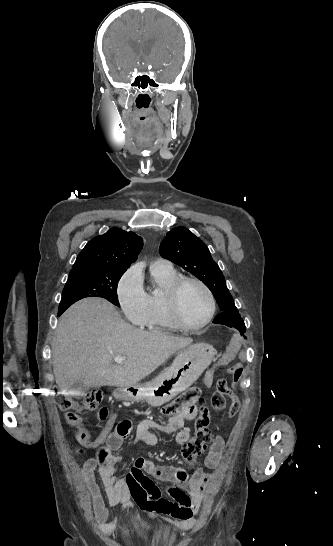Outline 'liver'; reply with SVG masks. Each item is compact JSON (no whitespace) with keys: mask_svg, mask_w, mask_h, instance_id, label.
<instances>
[{"mask_svg":"<svg viewBox=\"0 0 333 546\" xmlns=\"http://www.w3.org/2000/svg\"><path fill=\"white\" fill-rule=\"evenodd\" d=\"M192 342L188 337L139 330L105 299L86 298L59 319L53 339L55 380L63 391L77 381L89 388L131 386ZM115 355L126 360L112 364Z\"/></svg>","mask_w":333,"mask_h":546,"instance_id":"6515ba94","label":"liver"}]
</instances>
